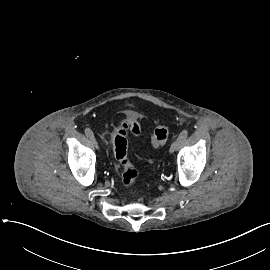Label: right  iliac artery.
I'll use <instances>...</instances> for the list:
<instances>
[{
  "instance_id": "right-iliac-artery-1",
  "label": "right iliac artery",
  "mask_w": 270,
  "mask_h": 270,
  "mask_svg": "<svg viewBox=\"0 0 270 270\" xmlns=\"http://www.w3.org/2000/svg\"><path fill=\"white\" fill-rule=\"evenodd\" d=\"M85 134H86V136H88V137L94 136L92 130L89 129V128H86V129H85Z\"/></svg>"
}]
</instances>
